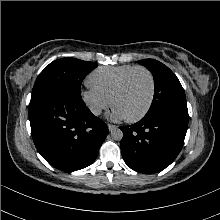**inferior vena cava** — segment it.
Instances as JSON below:
<instances>
[{
	"label": "inferior vena cava",
	"mask_w": 220,
	"mask_h": 220,
	"mask_svg": "<svg viewBox=\"0 0 220 220\" xmlns=\"http://www.w3.org/2000/svg\"><path fill=\"white\" fill-rule=\"evenodd\" d=\"M94 114H100L101 113V109L95 110L93 111Z\"/></svg>",
	"instance_id": "inferior-vena-cava-1"
}]
</instances>
